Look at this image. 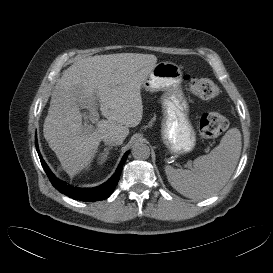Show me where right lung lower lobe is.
<instances>
[{"instance_id": "obj_1", "label": "right lung lower lobe", "mask_w": 273, "mask_h": 273, "mask_svg": "<svg viewBox=\"0 0 273 273\" xmlns=\"http://www.w3.org/2000/svg\"><path fill=\"white\" fill-rule=\"evenodd\" d=\"M35 145H36V149H37L38 155L41 160V164H42L47 176L49 177L51 183L53 184V186L58 191L67 195L70 198H73L75 200H80V201H89V202L104 200L111 195V193L113 192V190L115 189V187L119 181L122 166H123L124 162L126 161V158L129 154V152H126L124 154L119 166L116 169L115 174L104 184H102L98 187H95V188H74V187L67 185L66 183L60 181L59 179H57L55 177V175L51 172V170L49 169V167L47 166L45 161L42 159V156L39 152L37 139L35 140Z\"/></svg>"}]
</instances>
